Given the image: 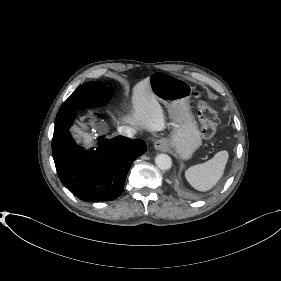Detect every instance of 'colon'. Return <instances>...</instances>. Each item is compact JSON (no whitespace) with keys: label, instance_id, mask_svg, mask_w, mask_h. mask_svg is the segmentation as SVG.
<instances>
[{"label":"colon","instance_id":"1","mask_svg":"<svg viewBox=\"0 0 281 281\" xmlns=\"http://www.w3.org/2000/svg\"><path fill=\"white\" fill-rule=\"evenodd\" d=\"M198 104L202 124V134L205 138H211L218 130L217 112L212 109L201 96H198Z\"/></svg>","mask_w":281,"mask_h":281}]
</instances>
